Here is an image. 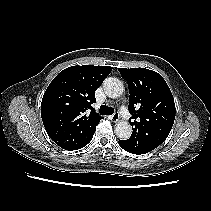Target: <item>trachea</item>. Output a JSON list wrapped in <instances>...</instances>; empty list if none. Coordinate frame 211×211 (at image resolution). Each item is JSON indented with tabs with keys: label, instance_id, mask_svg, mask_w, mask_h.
Instances as JSON below:
<instances>
[{
	"label": "trachea",
	"instance_id": "3493384b",
	"mask_svg": "<svg viewBox=\"0 0 211 211\" xmlns=\"http://www.w3.org/2000/svg\"><path fill=\"white\" fill-rule=\"evenodd\" d=\"M99 113L101 115H112L114 113V109L112 107L102 105L100 106Z\"/></svg>",
	"mask_w": 211,
	"mask_h": 211
}]
</instances>
